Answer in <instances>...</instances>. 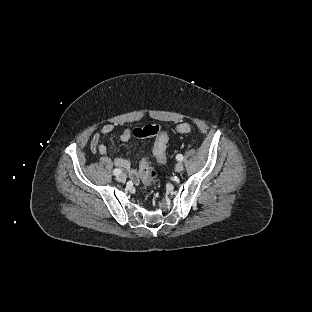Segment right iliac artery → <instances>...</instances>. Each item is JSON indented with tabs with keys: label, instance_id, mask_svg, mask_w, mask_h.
I'll list each match as a JSON object with an SVG mask.
<instances>
[{
	"label": "right iliac artery",
	"instance_id": "right-iliac-artery-1",
	"mask_svg": "<svg viewBox=\"0 0 312 312\" xmlns=\"http://www.w3.org/2000/svg\"><path fill=\"white\" fill-rule=\"evenodd\" d=\"M120 173H121L120 169H114L113 170V174L116 175V176L119 175Z\"/></svg>",
	"mask_w": 312,
	"mask_h": 312
}]
</instances>
